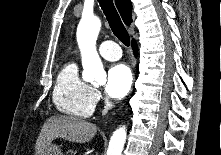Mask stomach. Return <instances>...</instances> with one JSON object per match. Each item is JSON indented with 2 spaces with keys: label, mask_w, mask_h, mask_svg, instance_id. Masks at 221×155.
<instances>
[{
  "label": "stomach",
  "mask_w": 221,
  "mask_h": 155,
  "mask_svg": "<svg viewBox=\"0 0 221 155\" xmlns=\"http://www.w3.org/2000/svg\"><path fill=\"white\" fill-rule=\"evenodd\" d=\"M42 155H63V153L59 146L50 144Z\"/></svg>",
  "instance_id": "0dacf381"
}]
</instances>
